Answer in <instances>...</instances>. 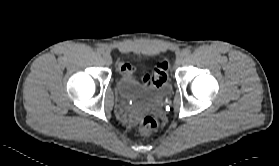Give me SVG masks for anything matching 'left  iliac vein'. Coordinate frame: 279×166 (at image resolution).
<instances>
[{"label": "left iliac vein", "instance_id": "obj_1", "mask_svg": "<svg viewBox=\"0 0 279 166\" xmlns=\"http://www.w3.org/2000/svg\"><path fill=\"white\" fill-rule=\"evenodd\" d=\"M182 62H183V54L180 53V54H178L177 57H176L175 65H176V66H179Z\"/></svg>", "mask_w": 279, "mask_h": 166}]
</instances>
